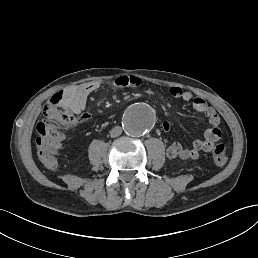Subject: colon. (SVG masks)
Wrapping results in <instances>:
<instances>
[{
    "label": "colon",
    "instance_id": "5ec220e1",
    "mask_svg": "<svg viewBox=\"0 0 258 258\" xmlns=\"http://www.w3.org/2000/svg\"><path fill=\"white\" fill-rule=\"evenodd\" d=\"M46 108V119L40 121L36 126L37 149L40 158L44 162H57V155L61 141L67 131L79 126L86 120V116H76L71 112L60 108L56 103ZM212 156L217 166L227 163L226 145L216 144L212 150Z\"/></svg>",
    "mask_w": 258,
    "mask_h": 258
}]
</instances>
